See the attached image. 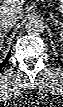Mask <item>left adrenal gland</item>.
Wrapping results in <instances>:
<instances>
[{
    "instance_id": "a2214340",
    "label": "left adrenal gland",
    "mask_w": 63,
    "mask_h": 107,
    "mask_svg": "<svg viewBox=\"0 0 63 107\" xmlns=\"http://www.w3.org/2000/svg\"><path fill=\"white\" fill-rule=\"evenodd\" d=\"M58 29H60V27H58ZM60 36L63 37V32L62 30H59Z\"/></svg>"
}]
</instances>
